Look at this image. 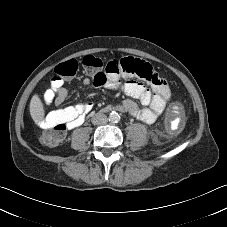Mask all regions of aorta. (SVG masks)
<instances>
[{
  "label": "aorta",
  "instance_id": "aorta-1",
  "mask_svg": "<svg viewBox=\"0 0 227 227\" xmlns=\"http://www.w3.org/2000/svg\"><path fill=\"white\" fill-rule=\"evenodd\" d=\"M109 117H110L111 121H116L117 118H118V114L113 112V113L110 114Z\"/></svg>",
  "mask_w": 227,
  "mask_h": 227
}]
</instances>
